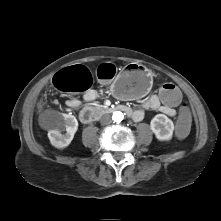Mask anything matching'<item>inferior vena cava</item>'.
<instances>
[{
	"instance_id": "obj_1",
	"label": "inferior vena cava",
	"mask_w": 221,
	"mask_h": 221,
	"mask_svg": "<svg viewBox=\"0 0 221 221\" xmlns=\"http://www.w3.org/2000/svg\"><path fill=\"white\" fill-rule=\"evenodd\" d=\"M100 122L102 125H107V124H110L111 123V118H110V115L106 114V115H103L100 119Z\"/></svg>"
}]
</instances>
